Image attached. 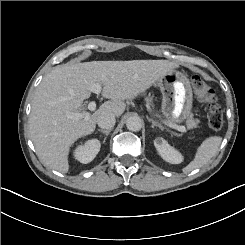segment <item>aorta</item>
<instances>
[{
  "label": "aorta",
  "instance_id": "762f6f07",
  "mask_svg": "<svg viewBox=\"0 0 245 245\" xmlns=\"http://www.w3.org/2000/svg\"><path fill=\"white\" fill-rule=\"evenodd\" d=\"M126 127L130 131L137 132L142 128V120L138 116H131L126 121Z\"/></svg>",
  "mask_w": 245,
  "mask_h": 245
}]
</instances>
